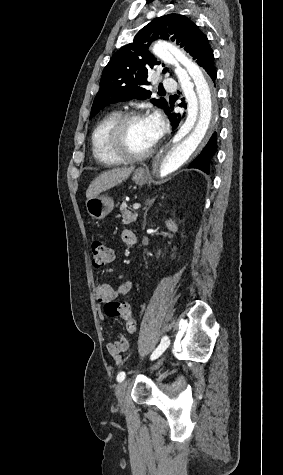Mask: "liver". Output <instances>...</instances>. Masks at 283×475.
<instances>
[{
	"label": "liver",
	"mask_w": 283,
	"mask_h": 475,
	"mask_svg": "<svg viewBox=\"0 0 283 475\" xmlns=\"http://www.w3.org/2000/svg\"><path fill=\"white\" fill-rule=\"evenodd\" d=\"M134 168H113V170H108V172H103L100 174L98 178H95L94 182H91L87 192L86 198L90 200V198H97L101 192H105V190H110V188H114V186H118L124 180L129 178L130 174H132Z\"/></svg>",
	"instance_id": "1"
}]
</instances>
